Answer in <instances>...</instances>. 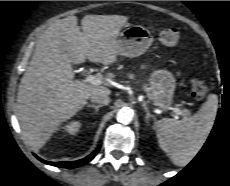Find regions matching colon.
Instances as JSON below:
<instances>
[{
    "label": "colon",
    "instance_id": "1",
    "mask_svg": "<svg viewBox=\"0 0 230 186\" xmlns=\"http://www.w3.org/2000/svg\"><path fill=\"white\" fill-rule=\"evenodd\" d=\"M158 38L162 43L174 46L179 43L180 34L177 29L166 28L159 31ZM207 92L208 88L203 79L197 78L192 81L191 95L195 100H203L207 95Z\"/></svg>",
    "mask_w": 230,
    "mask_h": 186
}]
</instances>
